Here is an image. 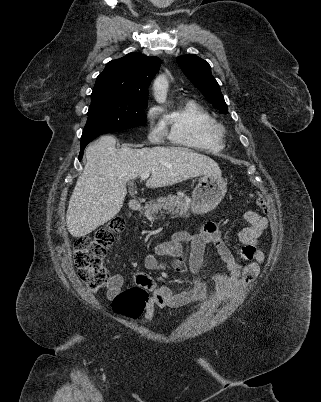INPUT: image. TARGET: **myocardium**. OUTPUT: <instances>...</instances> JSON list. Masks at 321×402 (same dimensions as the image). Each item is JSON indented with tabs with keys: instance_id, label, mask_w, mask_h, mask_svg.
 <instances>
[{
	"instance_id": "myocardium-1",
	"label": "myocardium",
	"mask_w": 321,
	"mask_h": 402,
	"mask_svg": "<svg viewBox=\"0 0 321 402\" xmlns=\"http://www.w3.org/2000/svg\"><path fill=\"white\" fill-rule=\"evenodd\" d=\"M216 131L221 134V136H223L225 134V129L222 125L220 124H216Z\"/></svg>"
}]
</instances>
